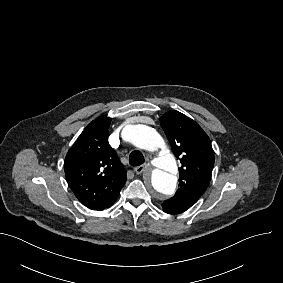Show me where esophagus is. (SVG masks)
Returning a JSON list of instances; mask_svg holds the SVG:
<instances>
[{
  "label": "esophagus",
  "instance_id": "34e87169",
  "mask_svg": "<svg viewBox=\"0 0 283 283\" xmlns=\"http://www.w3.org/2000/svg\"><path fill=\"white\" fill-rule=\"evenodd\" d=\"M147 166V164H142L140 166L135 167L134 171L136 174H141L147 168Z\"/></svg>",
  "mask_w": 283,
  "mask_h": 283
}]
</instances>
